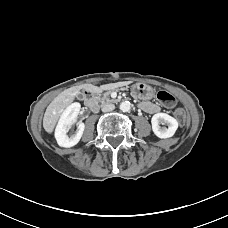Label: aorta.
I'll return each mask as SVG.
<instances>
[{
  "mask_svg": "<svg viewBox=\"0 0 228 228\" xmlns=\"http://www.w3.org/2000/svg\"><path fill=\"white\" fill-rule=\"evenodd\" d=\"M131 109V103L129 101H123L120 103V110L123 112H128Z\"/></svg>",
  "mask_w": 228,
  "mask_h": 228,
  "instance_id": "762f6f07",
  "label": "aorta"
}]
</instances>
